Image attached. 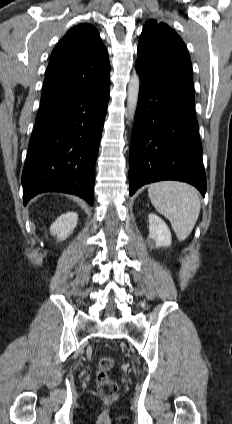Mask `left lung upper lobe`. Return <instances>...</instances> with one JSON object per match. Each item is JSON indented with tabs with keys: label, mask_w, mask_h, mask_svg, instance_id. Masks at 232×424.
Segmentation results:
<instances>
[{
	"label": "left lung upper lobe",
	"mask_w": 232,
	"mask_h": 424,
	"mask_svg": "<svg viewBox=\"0 0 232 424\" xmlns=\"http://www.w3.org/2000/svg\"><path fill=\"white\" fill-rule=\"evenodd\" d=\"M136 71L150 79H192L191 59L184 42L168 25L155 20H149L143 27Z\"/></svg>",
	"instance_id": "left-lung-upper-lobe-1"
}]
</instances>
